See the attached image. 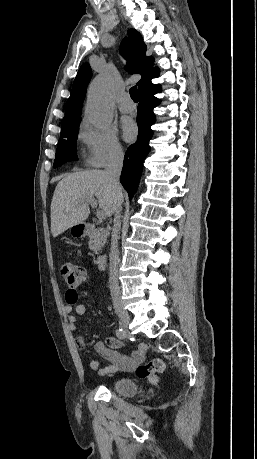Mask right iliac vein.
I'll return each mask as SVG.
<instances>
[{
	"instance_id": "63e3f726",
	"label": "right iliac vein",
	"mask_w": 257,
	"mask_h": 459,
	"mask_svg": "<svg viewBox=\"0 0 257 459\" xmlns=\"http://www.w3.org/2000/svg\"><path fill=\"white\" fill-rule=\"evenodd\" d=\"M116 313H117V316L119 317L121 327H123L124 329H127L130 323V316L128 312L119 306L116 308Z\"/></svg>"
}]
</instances>
